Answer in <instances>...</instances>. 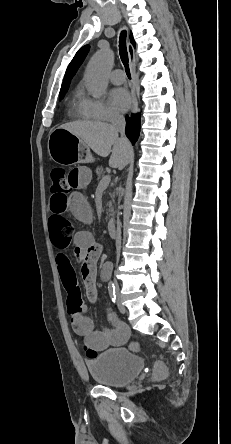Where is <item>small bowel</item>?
<instances>
[{"mask_svg": "<svg viewBox=\"0 0 231 444\" xmlns=\"http://www.w3.org/2000/svg\"><path fill=\"white\" fill-rule=\"evenodd\" d=\"M92 180V171L87 166H77L67 175L71 196L50 200L51 216L48 220L51 241L57 248L56 262L63 286L67 292V308L71 317V325L76 334L82 336L88 348L102 351L110 346H120L129 338L128 328L115 322L112 328L96 330L94 322L87 315L77 283L76 272L67 254L72 246V255L81 263V276L85 284L88 299L95 302L98 298L96 288V264L101 254V247L87 231H75L71 222L65 217L67 211L77 219L88 222L92 219V210L87 199L77 190L87 187ZM109 265H105L103 273L108 275Z\"/></svg>", "mask_w": 231, "mask_h": 444, "instance_id": "1", "label": "small bowel"}]
</instances>
